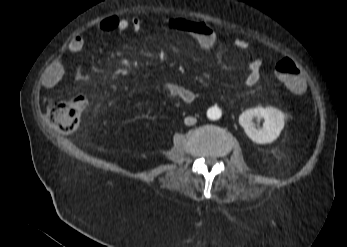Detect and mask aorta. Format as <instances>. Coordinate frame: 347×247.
Segmentation results:
<instances>
[{"mask_svg": "<svg viewBox=\"0 0 347 247\" xmlns=\"http://www.w3.org/2000/svg\"><path fill=\"white\" fill-rule=\"evenodd\" d=\"M207 116L211 120H218L221 117V111L219 109L210 108L207 112Z\"/></svg>", "mask_w": 347, "mask_h": 247, "instance_id": "1", "label": "aorta"}]
</instances>
